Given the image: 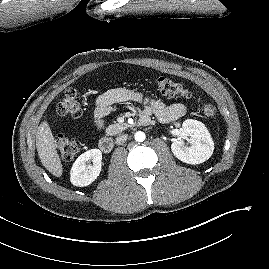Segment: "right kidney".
<instances>
[{"mask_svg":"<svg viewBox=\"0 0 269 269\" xmlns=\"http://www.w3.org/2000/svg\"><path fill=\"white\" fill-rule=\"evenodd\" d=\"M102 152L99 149H90L81 154L73 163L70 172V181L74 186L84 187L97 179L101 172ZM92 161V164H89Z\"/></svg>","mask_w":269,"mask_h":269,"instance_id":"obj_1","label":"right kidney"}]
</instances>
